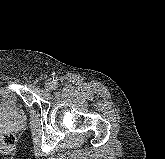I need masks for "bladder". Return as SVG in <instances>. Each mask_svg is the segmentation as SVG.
I'll list each match as a JSON object with an SVG mask.
<instances>
[{"label": "bladder", "instance_id": "obj_1", "mask_svg": "<svg viewBox=\"0 0 165 159\" xmlns=\"http://www.w3.org/2000/svg\"><path fill=\"white\" fill-rule=\"evenodd\" d=\"M15 100V95L10 90L0 88V107L9 106Z\"/></svg>", "mask_w": 165, "mask_h": 159}]
</instances>
